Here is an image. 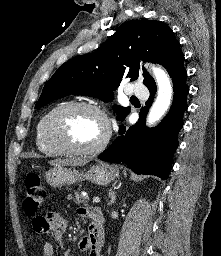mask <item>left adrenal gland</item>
Segmentation results:
<instances>
[{
    "mask_svg": "<svg viewBox=\"0 0 221 256\" xmlns=\"http://www.w3.org/2000/svg\"><path fill=\"white\" fill-rule=\"evenodd\" d=\"M115 194L116 193L112 189H110V191H109L110 201H109L108 205H112L115 202V200H116V195Z\"/></svg>",
    "mask_w": 221,
    "mask_h": 256,
    "instance_id": "obj_1",
    "label": "left adrenal gland"
}]
</instances>
